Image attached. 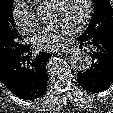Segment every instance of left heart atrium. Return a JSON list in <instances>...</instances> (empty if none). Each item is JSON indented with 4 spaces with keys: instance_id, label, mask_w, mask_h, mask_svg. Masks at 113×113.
Returning <instances> with one entry per match:
<instances>
[{
    "instance_id": "left-heart-atrium-1",
    "label": "left heart atrium",
    "mask_w": 113,
    "mask_h": 113,
    "mask_svg": "<svg viewBox=\"0 0 113 113\" xmlns=\"http://www.w3.org/2000/svg\"><path fill=\"white\" fill-rule=\"evenodd\" d=\"M75 28L63 21H55L45 26L34 37V46L41 51L56 50L74 34Z\"/></svg>"
}]
</instances>
